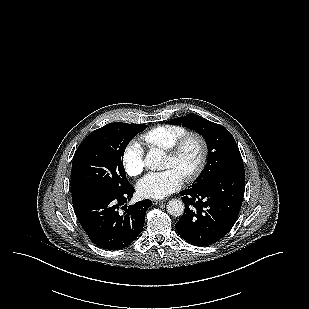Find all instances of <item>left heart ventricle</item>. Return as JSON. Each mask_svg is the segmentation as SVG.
Here are the masks:
<instances>
[{"mask_svg":"<svg viewBox=\"0 0 309 309\" xmlns=\"http://www.w3.org/2000/svg\"><path fill=\"white\" fill-rule=\"evenodd\" d=\"M200 155L201 148L199 142L195 139H191L185 145L177 159H172L166 155L164 168L174 169L183 177L197 166Z\"/></svg>","mask_w":309,"mask_h":309,"instance_id":"1","label":"left heart ventricle"}]
</instances>
